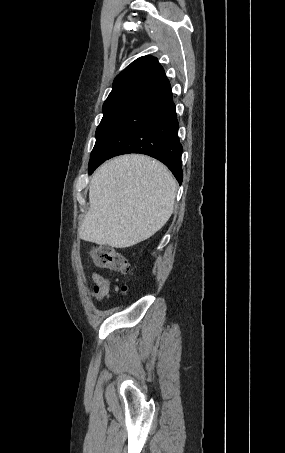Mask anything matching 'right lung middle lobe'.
<instances>
[{
	"instance_id": "right-lung-middle-lobe-1",
	"label": "right lung middle lobe",
	"mask_w": 285,
	"mask_h": 453,
	"mask_svg": "<svg viewBox=\"0 0 285 453\" xmlns=\"http://www.w3.org/2000/svg\"><path fill=\"white\" fill-rule=\"evenodd\" d=\"M126 100H127V97H121V98H116V99L107 101L103 104V118L96 130V143L91 152L90 161L94 157V155L102 141V138H103L105 132L107 131L109 125L111 124L113 118L115 117L116 113L118 112V110L121 108V106L124 104V102Z\"/></svg>"
}]
</instances>
